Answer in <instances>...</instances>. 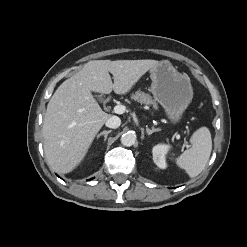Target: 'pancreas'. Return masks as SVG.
<instances>
[{"mask_svg": "<svg viewBox=\"0 0 247 247\" xmlns=\"http://www.w3.org/2000/svg\"><path fill=\"white\" fill-rule=\"evenodd\" d=\"M131 98L141 104L152 105L154 109H158L156 102L151 98V96L142 91H136Z\"/></svg>", "mask_w": 247, "mask_h": 247, "instance_id": "obj_1", "label": "pancreas"}]
</instances>
